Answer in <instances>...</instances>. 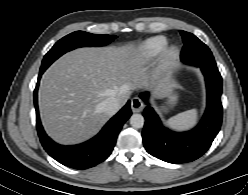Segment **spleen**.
Here are the masks:
<instances>
[{
  "instance_id": "3e777b00",
  "label": "spleen",
  "mask_w": 248,
  "mask_h": 195,
  "mask_svg": "<svg viewBox=\"0 0 248 195\" xmlns=\"http://www.w3.org/2000/svg\"><path fill=\"white\" fill-rule=\"evenodd\" d=\"M198 113L196 109H191L171 117L167 124L176 130H185L194 126L197 122Z\"/></svg>"
}]
</instances>
